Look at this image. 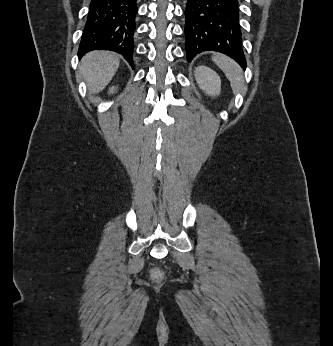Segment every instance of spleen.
<instances>
[{"instance_id":"spleen-1","label":"spleen","mask_w":333,"mask_h":346,"mask_svg":"<svg viewBox=\"0 0 333 346\" xmlns=\"http://www.w3.org/2000/svg\"><path fill=\"white\" fill-rule=\"evenodd\" d=\"M212 59L225 73L234 93H240L244 86V79L240 66L224 55L215 54Z\"/></svg>"}]
</instances>
